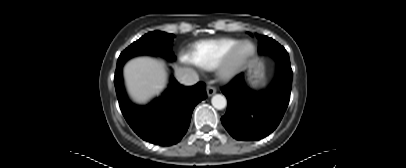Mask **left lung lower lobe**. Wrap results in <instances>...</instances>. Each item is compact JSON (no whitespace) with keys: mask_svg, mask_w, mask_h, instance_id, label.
<instances>
[{"mask_svg":"<svg viewBox=\"0 0 406 168\" xmlns=\"http://www.w3.org/2000/svg\"><path fill=\"white\" fill-rule=\"evenodd\" d=\"M292 69L289 58L277 59L276 76L265 92L251 90L244 74L237 75L221 88L228 107L221 122L237 140H260L272 133L280 123L289 103Z\"/></svg>","mask_w":406,"mask_h":168,"instance_id":"obj_1","label":"left lung lower lobe"}]
</instances>
